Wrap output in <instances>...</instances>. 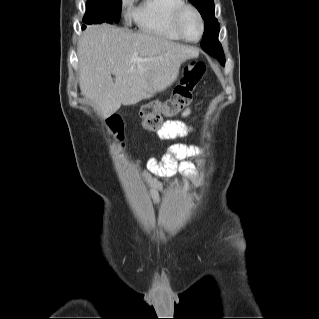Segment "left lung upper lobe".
Returning <instances> with one entry per match:
<instances>
[{
  "label": "left lung upper lobe",
  "mask_w": 319,
  "mask_h": 319,
  "mask_svg": "<svg viewBox=\"0 0 319 319\" xmlns=\"http://www.w3.org/2000/svg\"><path fill=\"white\" fill-rule=\"evenodd\" d=\"M200 12L205 21V32L201 42L202 48L212 50L216 55L211 54L217 58L218 61L224 66L225 57L221 44L218 41V34L220 25L214 16L215 6L213 0H189Z\"/></svg>",
  "instance_id": "1"
}]
</instances>
